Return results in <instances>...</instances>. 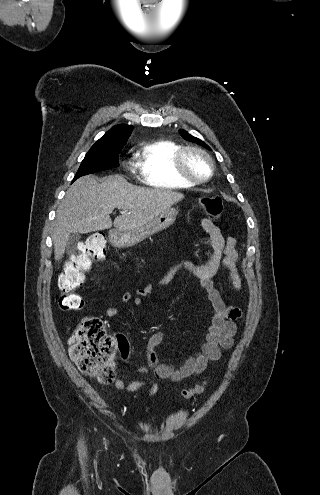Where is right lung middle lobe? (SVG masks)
<instances>
[{
  "label": "right lung middle lobe",
  "instance_id": "dd1d6c3e",
  "mask_svg": "<svg viewBox=\"0 0 320 495\" xmlns=\"http://www.w3.org/2000/svg\"><path fill=\"white\" fill-rule=\"evenodd\" d=\"M122 148L123 146H92L81 162L73 181L83 175L118 167V156Z\"/></svg>",
  "mask_w": 320,
  "mask_h": 495
}]
</instances>
